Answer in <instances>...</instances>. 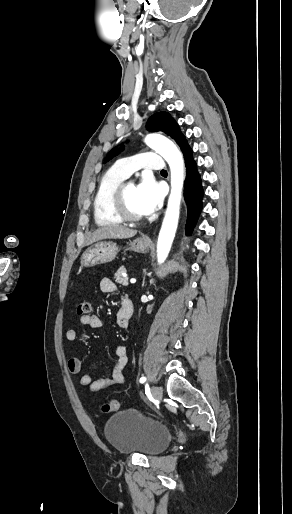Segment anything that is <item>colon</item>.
<instances>
[{
  "mask_svg": "<svg viewBox=\"0 0 292 514\" xmlns=\"http://www.w3.org/2000/svg\"><path fill=\"white\" fill-rule=\"evenodd\" d=\"M91 311V303L90 300L84 299L80 300L77 304V314L78 315H88ZM119 401L117 399H109L105 401L101 406V411L103 413H115L119 409Z\"/></svg>",
  "mask_w": 292,
  "mask_h": 514,
  "instance_id": "colon-1",
  "label": "colon"
}]
</instances>
